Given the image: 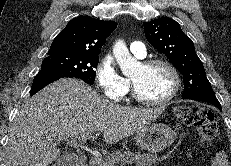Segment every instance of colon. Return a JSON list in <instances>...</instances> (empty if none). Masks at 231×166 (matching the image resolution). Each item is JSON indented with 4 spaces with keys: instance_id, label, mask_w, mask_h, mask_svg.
Masks as SVG:
<instances>
[{
    "instance_id": "colon-1",
    "label": "colon",
    "mask_w": 231,
    "mask_h": 166,
    "mask_svg": "<svg viewBox=\"0 0 231 166\" xmlns=\"http://www.w3.org/2000/svg\"><path fill=\"white\" fill-rule=\"evenodd\" d=\"M175 114L184 124L197 129L203 151L214 143L218 135V124L209 109L199 105H179L175 109ZM55 166H62V164Z\"/></svg>"
}]
</instances>
